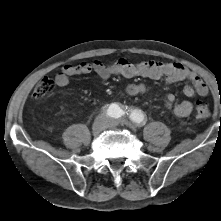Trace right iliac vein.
<instances>
[{"label":"right iliac vein","mask_w":221,"mask_h":221,"mask_svg":"<svg viewBox=\"0 0 221 221\" xmlns=\"http://www.w3.org/2000/svg\"><path fill=\"white\" fill-rule=\"evenodd\" d=\"M109 123V120L105 117H98L93 125H92V132L94 134H99L100 132H102L105 128H107Z\"/></svg>","instance_id":"obj_1"}]
</instances>
